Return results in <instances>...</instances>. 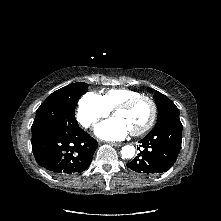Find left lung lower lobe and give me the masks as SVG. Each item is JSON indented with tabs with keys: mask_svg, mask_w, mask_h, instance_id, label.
<instances>
[{
	"mask_svg": "<svg viewBox=\"0 0 221 221\" xmlns=\"http://www.w3.org/2000/svg\"><path fill=\"white\" fill-rule=\"evenodd\" d=\"M181 122H165L139 141L143 150L127 163V167L138 173L156 174L169 170L175 163L181 148ZM140 149V148H138Z\"/></svg>",
	"mask_w": 221,
	"mask_h": 221,
	"instance_id": "obj_1",
	"label": "left lung lower lobe"
}]
</instances>
